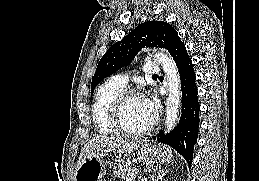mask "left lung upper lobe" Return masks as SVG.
Instances as JSON below:
<instances>
[{
    "label": "left lung upper lobe",
    "mask_w": 259,
    "mask_h": 181,
    "mask_svg": "<svg viewBox=\"0 0 259 181\" xmlns=\"http://www.w3.org/2000/svg\"><path fill=\"white\" fill-rule=\"evenodd\" d=\"M179 40L178 33L167 22L148 21L138 25L103 55L92 79L91 94L104 78L130 63L142 48L158 47L170 52Z\"/></svg>",
    "instance_id": "left-lung-upper-lobe-1"
}]
</instances>
